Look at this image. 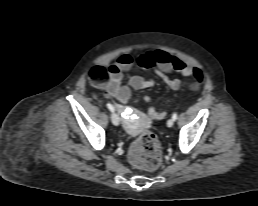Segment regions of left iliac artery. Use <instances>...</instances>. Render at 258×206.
Instances as JSON below:
<instances>
[{
  "mask_svg": "<svg viewBox=\"0 0 258 206\" xmlns=\"http://www.w3.org/2000/svg\"><path fill=\"white\" fill-rule=\"evenodd\" d=\"M172 118H173V120L175 121V120L177 119V113H174V114L172 115Z\"/></svg>",
  "mask_w": 258,
  "mask_h": 206,
  "instance_id": "obj_1",
  "label": "left iliac artery"
}]
</instances>
